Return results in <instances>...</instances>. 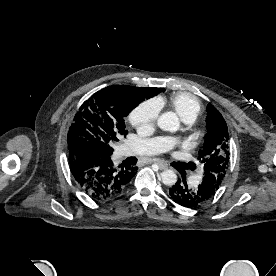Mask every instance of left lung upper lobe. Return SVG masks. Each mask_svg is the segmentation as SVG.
<instances>
[{
	"mask_svg": "<svg viewBox=\"0 0 276 276\" xmlns=\"http://www.w3.org/2000/svg\"><path fill=\"white\" fill-rule=\"evenodd\" d=\"M207 112V133L198 160L203 163V181H209L217 190L229 165V134L225 120L212 104H208Z\"/></svg>",
	"mask_w": 276,
	"mask_h": 276,
	"instance_id": "5c2ea615",
	"label": "left lung upper lobe"
}]
</instances>
